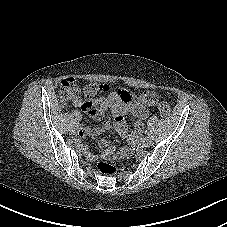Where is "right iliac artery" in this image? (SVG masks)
<instances>
[{
  "instance_id": "right-iliac-artery-1",
  "label": "right iliac artery",
  "mask_w": 227,
  "mask_h": 227,
  "mask_svg": "<svg viewBox=\"0 0 227 227\" xmlns=\"http://www.w3.org/2000/svg\"><path fill=\"white\" fill-rule=\"evenodd\" d=\"M73 128H79V122L78 121H75L73 123Z\"/></svg>"
}]
</instances>
